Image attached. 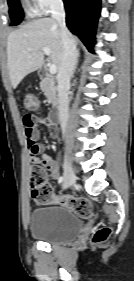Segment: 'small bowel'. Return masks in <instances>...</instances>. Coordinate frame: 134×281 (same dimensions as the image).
<instances>
[{
	"label": "small bowel",
	"mask_w": 134,
	"mask_h": 281,
	"mask_svg": "<svg viewBox=\"0 0 134 281\" xmlns=\"http://www.w3.org/2000/svg\"><path fill=\"white\" fill-rule=\"evenodd\" d=\"M23 124L25 135L27 138L30 162L35 166L42 167L50 172L52 179L59 177V165L55 159L45 154V146L38 142L40 132L39 125H46L49 128L50 136L52 138L57 137V129L55 126L49 124L43 118L37 117L32 113H25L23 115Z\"/></svg>",
	"instance_id": "small-bowel-1"
}]
</instances>
